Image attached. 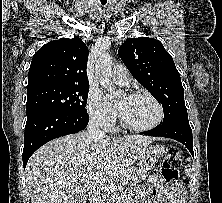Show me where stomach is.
<instances>
[{
  "mask_svg": "<svg viewBox=\"0 0 222 203\" xmlns=\"http://www.w3.org/2000/svg\"><path fill=\"white\" fill-rule=\"evenodd\" d=\"M164 152L165 148L161 145H151L144 148L138 156L141 171L146 173L152 169L158 160L163 157Z\"/></svg>",
  "mask_w": 222,
  "mask_h": 203,
  "instance_id": "stomach-1",
  "label": "stomach"
}]
</instances>
